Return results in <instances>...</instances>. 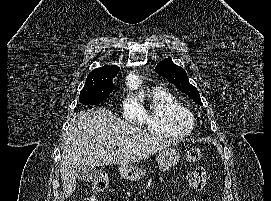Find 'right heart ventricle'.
Masks as SVG:
<instances>
[{
    "mask_svg": "<svg viewBox=\"0 0 271 201\" xmlns=\"http://www.w3.org/2000/svg\"><path fill=\"white\" fill-rule=\"evenodd\" d=\"M143 114L147 130L159 137L188 136L195 127V118L190 109L164 89L153 91L150 111Z\"/></svg>",
    "mask_w": 271,
    "mask_h": 201,
    "instance_id": "obj_1",
    "label": "right heart ventricle"
}]
</instances>
